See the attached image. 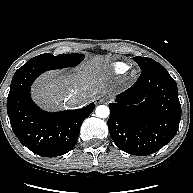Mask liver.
<instances>
[{"label": "liver", "mask_w": 193, "mask_h": 193, "mask_svg": "<svg viewBox=\"0 0 193 193\" xmlns=\"http://www.w3.org/2000/svg\"><path fill=\"white\" fill-rule=\"evenodd\" d=\"M108 67L107 60L97 57L75 73H44L33 84V100L42 108L52 111L75 93L86 98L88 103L97 93L106 92Z\"/></svg>", "instance_id": "1"}]
</instances>
